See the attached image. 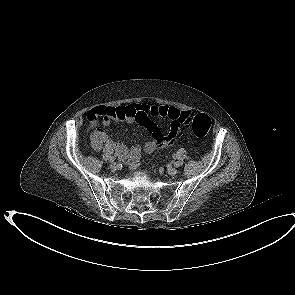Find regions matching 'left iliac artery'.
Wrapping results in <instances>:
<instances>
[{"mask_svg": "<svg viewBox=\"0 0 295 295\" xmlns=\"http://www.w3.org/2000/svg\"><path fill=\"white\" fill-rule=\"evenodd\" d=\"M174 166H175V167H178V166H179V163H178V162H175V163H174Z\"/></svg>", "mask_w": 295, "mask_h": 295, "instance_id": "obj_1", "label": "left iliac artery"}]
</instances>
